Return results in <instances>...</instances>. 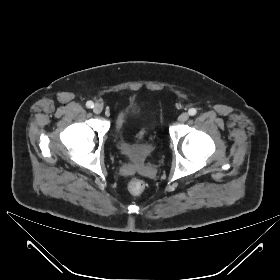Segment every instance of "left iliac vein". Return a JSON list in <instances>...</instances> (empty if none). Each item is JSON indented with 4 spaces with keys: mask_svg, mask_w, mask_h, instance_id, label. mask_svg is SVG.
<instances>
[{
    "mask_svg": "<svg viewBox=\"0 0 280 280\" xmlns=\"http://www.w3.org/2000/svg\"><path fill=\"white\" fill-rule=\"evenodd\" d=\"M189 119V114L187 112L182 113L179 117H178V121L179 122H185Z\"/></svg>",
    "mask_w": 280,
    "mask_h": 280,
    "instance_id": "left-iliac-vein-1",
    "label": "left iliac vein"
}]
</instances>
